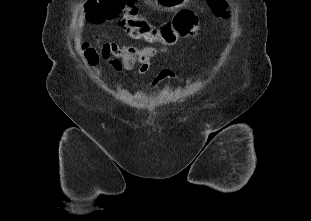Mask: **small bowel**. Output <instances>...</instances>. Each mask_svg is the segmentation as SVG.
I'll use <instances>...</instances> for the list:
<instances>
[{"mask_svg": "<svg viewBox=\"0 0 311 221\" xmlns=\"http://www.w3.org/2000/svg\"><path fill=\"white\" fill-rule=\"evenodd\" d=\"M166 9V8H161ZM172 9V8H169ZM108 46H127V53H109V57H104L108 66L117 72L131 71L138 66V72L142 76H147L151 72L154 58L160 54L167 52V47H152L143 46L135 47L116 41L109 37L108 42L105 44V50ZM174 74L171 70H162L158 76L153 80L152 87H157L165 80H171Z\"/></svg>", "mask_w": 311, "mask_h": 221, "instance_id": "small-bowel-1", "label": "small bowel"}]
</instances>
